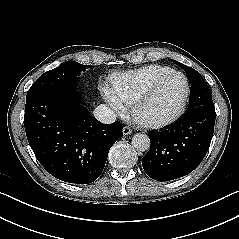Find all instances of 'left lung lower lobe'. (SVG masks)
Wrapping results in <instances>:
<instances>
[{
  "label": "left lung lower lobe",
  "instance_id": "obj_1",
  "mask_svg": "<svg viewBox=\"0 0 239 239\" xmlns=\"http://www.w3.org/2000/svg\"><path fill=\"white\" fill-rule=\"evenodd\" d=\"M214 124V105H204L187 111L168 130L149 134L151 146L142 159L146 174L168 181L191 173L208 151Z\"/></svg>",
  "mask_w": 239,
  "mask_h": 239
}]
</instances>
